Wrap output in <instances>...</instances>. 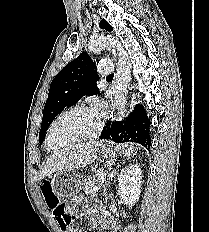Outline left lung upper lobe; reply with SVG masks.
Returning <instances> with one entry per match:
<instances>
[{
  "mask_svg": "<svg viewBox=\"0 0 209 232\" xmlns=\"http://www.w3.org/2000/svg\"><path fill=\"white\" fill-rule=\"evenodd\" d=\"M100 28L112 31L106 20H101ZM91 57L85 52L68 63L50 85L48 99L43 110L39 141L43 143L46 131L55 117L66 107L76 104L83 95L98 94V75Z\"/></svg>",
  "mask_w": 209,
  "mask_h": 232,
  "instance_id": "left-lung-upper-lobe-1",
  "label": "left lung upper lobe"
}]
</instances>
